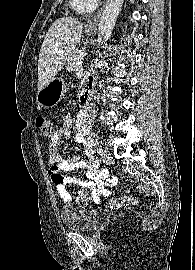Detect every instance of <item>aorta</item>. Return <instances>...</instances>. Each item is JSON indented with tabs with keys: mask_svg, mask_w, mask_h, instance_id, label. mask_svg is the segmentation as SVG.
Returning <instances> with one entry per match:
<instances>
[{
	"mask_svg": "<svg viewBox=\"0 0 195 270\" xmlns=\"http://www.w3.org/2000/svg\"><path fill=\"white\" fill-rule=\"evenodd\" d=\"M124 0H108L99 22V33L107 41L113 32Z\"/></svg>",
	"mask_w": 195,
	"mask_h": 270,
	"instance_id": "obj_1",
	"label": "aorta"
}]
</instances>
